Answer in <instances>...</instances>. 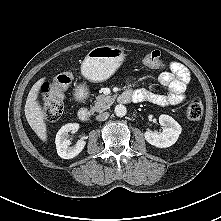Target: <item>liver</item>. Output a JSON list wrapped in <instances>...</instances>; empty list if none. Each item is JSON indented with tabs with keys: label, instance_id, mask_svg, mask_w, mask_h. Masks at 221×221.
<instances>
[{
	"label": "liver",
	"instance_id": "liver-1",
	"mask_svg": "<svg viewBox=\"0 0 221 221\" xmlns=\"http://www.w3.org/2000/svg\"><path fill=\"white\" fill-rule=\"evenodd\" d=\"M45 78L38 80L31 88L26 104L25 116L32 130L43 141H47V126L45 123L46 113L42 109L39 101L37 100L39 90L44 83Z\"/></svg>",
	"mask_w": 221,
	"mask_h": 221
}]
</instances>
